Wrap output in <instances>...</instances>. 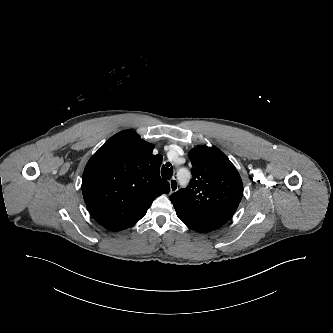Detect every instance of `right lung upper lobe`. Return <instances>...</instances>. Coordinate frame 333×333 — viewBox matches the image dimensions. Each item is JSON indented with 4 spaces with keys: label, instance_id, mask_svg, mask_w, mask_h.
<instances>
[{
    "label": "right lung upper lobe",
    "instance_id": "1",
    "mask_svg": "<svg viewBox=\"0 0 333 333\" xmlns=\"http://www.w3.org/2000/svg\"><path fill=\"white\" fill-rule=\"evenodd\" d=\"M133 131L111 137L90 158L82 178V193L92 217L111 231L127 229L139 221L153 200L169 193L161 179L163 157Z\"/></svg>",
    "mask_w": 333,
    "mask_h": 333
}]
</instances>
